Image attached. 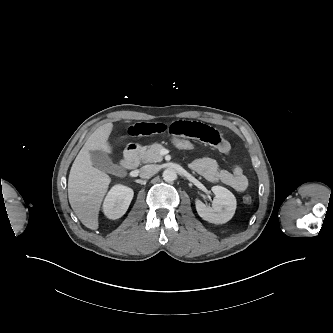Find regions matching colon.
Here are the masks:
<instances>
[{
  "label": "colon",
  "instance_id": "1",
  "mask_svg": "<svg viewBox=\"0 0 333 333\" xmlns=\"http://www.w3.org/2000/svg\"><path fill=\"white\" fill-rule=\"evenodd\" d=\"M169 143L179 151H193L198 148V141L180 136H169ZM243 200L246 204H250L252 202V197L250 195H245Z\"/></svg>",
  "mask_w": 333,
  "mask_h": 333
}]
</instances>
